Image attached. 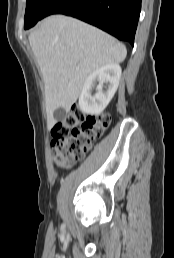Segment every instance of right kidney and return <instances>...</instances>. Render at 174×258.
I'll return each instance as SVG.
<instances>
[{
	"label": "right kidney",
	"instance_id": "ca27d5eb",
	"mask_svg": "<svg viewBox=\"0 0 174 258\" xmlns=\"http://www.w3.org/2000/svg\"><path fill=\"white\" fill-rule=\"evenodd\" d=\"M121 77V67L118 63H110L91 73L85 80L80 97V110L87 115L100 114L113 98ZM97 93L92 96L91 90L95 83ZM104 84L107 88L103 91Z\"/></svg>",
	"mask_w": 174,
	"mask_h": 258
}]
</instances>
